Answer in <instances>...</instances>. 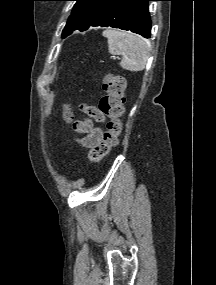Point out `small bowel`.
Instances as JSON below:
<instances>
[{
	"mask_svg": "<svg viewBox=\"0 0 216 285\" xmlns=\"http://www.w3.org/2000/svg\"><path fill=\"white\" fill-rule=\"evenodd\" d=\"M85 112L96 121H103L104 115L95 107L88 106L84 108ZM75 128L81 132L85 133V137L81 140V143L85 147H93L97 144L102 137V130L93 126L92 121L89 119H84L78 121Z\"/></svg>",
	"mask_w": 216,
	"mask_h": 285,
	"instance_id": "1",
	"label": "small bowel"
}]
</instances>
